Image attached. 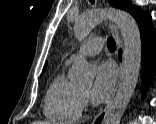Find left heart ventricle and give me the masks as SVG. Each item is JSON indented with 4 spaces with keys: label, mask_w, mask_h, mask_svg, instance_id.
<instances>
[{
    "label": "left heart ventricle",
    "mask_w": 156,
    "mask_h": 124,
    "mask_svg": "<svg viewBox=\"0 0 156 124\" xmlns=\"http://www.w3.org/2000/svg\"><path fill=\"white\" fill-rule=\"evenodd\" d=\"M85 91H88L89 90V86H86L83 88Z\"/></svg>",
    "instance_id": "1"
}]
</instances>
